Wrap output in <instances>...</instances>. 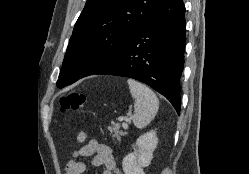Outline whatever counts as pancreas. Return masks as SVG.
<instances>
[{
    "instance_id": "1",
    "label": "pancreas",
    "mask_w": 249,
    "mask_h": 174,
    "mask_svg": "<svg viewBox=\"0 0 249 174\" xmlns=\"http://www.w3.org/2000/svg\"><path fill=\"white\" fill-rule=\"evenodd\" d=\"M108 130L112 134V137L116 138L118 141L120 140L121 136L126 134V132L120 130V124L118 123L108 126Z\"/></svg>"
}]
</instances>
